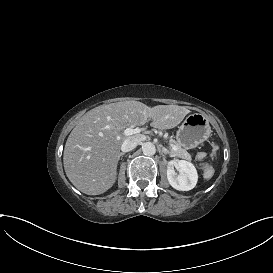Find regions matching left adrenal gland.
Here are the masks:
<instances>
[{
  "mask_svg": "<svg viewBox=\"0 0 273 273\" xmlns=\"http://www.w3.org/2000/svg\"><path fill=\"white\" fill-rule=\"evenodd\" d=\"M162 151H163V153H169V151L167 149H165L164 147H162Z\"/></svg>",
  "mask_w": 273,
  "mask_h": 273,
  "instance_id": "left-adrenal-gland-1",
  "label": "left adrenal gland"
}]
</instances>
